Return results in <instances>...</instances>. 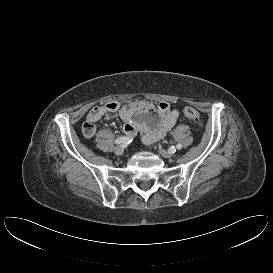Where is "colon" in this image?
<instances>
[{"instance_id":"5ec220e1","label":"colon","mask_w":273,"mask_h":273,"mask_svg":"<svg viewBox=\"0 0 273 273\" xmlns=\"http://www.w3.org/2000/svg\"><path fill=\"white\" fill-rule=\"evenodd\" d=\"M183 113L186 119L195 123L201 122V116L195 108L187 106L184 108Z\"/></svg>"}]
</instances>
